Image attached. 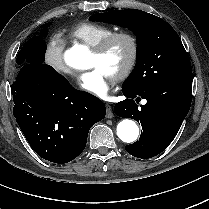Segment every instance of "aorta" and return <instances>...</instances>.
<instances>
[{
  "label": "aorta",
  "instance_id": "obj_1",
  "mask_svg": "<svg viewBox=\"0 0 209 209\" xmlns=\"http://www.w3.org/2000/svg\"><path fill=\"white\" fill-rule=\"evenodd\" d=\"M90 51L87 46L76 44L64 53L65 63L74 69L85 70L89 68ZM118 137L126 143L134 142L139 135V127L130 119H124L117 125Z\"/></svg>",
  "mask_w": 209,
  "mask_h": 209
}]
</instances>
